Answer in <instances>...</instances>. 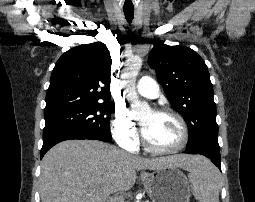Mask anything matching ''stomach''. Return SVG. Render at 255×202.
Listing matches in <instances>:
<instances>
[{
  "label": "stomach",
  "mask_w": 255,
  "mask_h": 202,
  "mask_svg": "<svg viewBox=\"0 0 255 202\" xmlns=\"http://www.w3.org/2000/svg\"><path fill=\"white\" fill-rule=\"evenodd\" d=\"M152 173L149 186H144L152 202H189V182L180 169L166 167Z\"/></svg>",
  "instance_id": "0dacf381"
}]
</instances>
